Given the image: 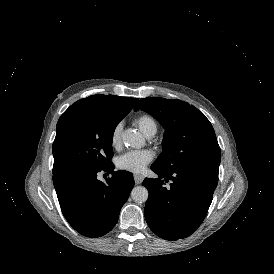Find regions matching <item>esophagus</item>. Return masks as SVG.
Here are the masks:
<instances>
[{"label": "esophagus", "mask_w": 274, "mask_h": 274, "mask_svg": "<svg viewBox=\"0 0 274 274\" xmlns=\"http://www.w3.org/2000/svg\"><path fill=\"white\" fill-rule=\"evenodd\" d=\"M134 180L136 184H141L142 181L144 180V176L143 175H139V174H135L134 175Z\"/></svg>", "instance_id": "esophagus-1"}]
</instances>
